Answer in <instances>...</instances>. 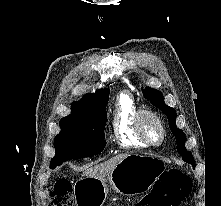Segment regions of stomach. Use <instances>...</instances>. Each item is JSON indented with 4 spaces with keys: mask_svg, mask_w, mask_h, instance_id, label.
<instances>
[{
    "mask_svg": "<svg viewBox=\"0 0 221 206\" xmlns=\"http://www.w3.org/2000/svg\"><path fill=\"white\" fill-rule=\"evenodd\" d=\"M166 169L163 159L152 155H128L107 178L80 179L77 203L80 206H102L111 188L124 195L148 191Z\"/></svg>",
    "mask_w": 221,
    "mask_h": 206,
    "instance_id": "obj_1",
    "label": "stomach"
}]
</instances>
